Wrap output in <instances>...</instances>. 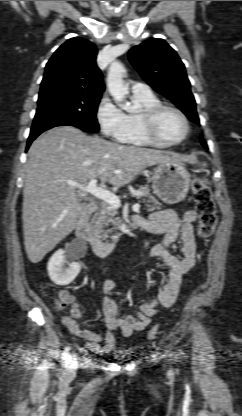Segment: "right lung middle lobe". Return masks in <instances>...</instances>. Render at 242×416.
Here are the masks:
<instances>
[{
    "instance_id": "right-lung-middle-lobe-1",
    "label": "right lung middle lobe",
    "mask_w": 242,
    "mask_h": 416,
    "mask_svg": "<svg viewBox=\"0 0 242 416\" xmlns=\"http://www.w3.org/2000/svg\"><path fill=\"white\" fill-rule=\"evenodd\" d=\"M101 95L56 91L39 95L31 130L65 121L81 124L83 130L98 132L96 118Z\"/></svg>"
}]
</instances>
